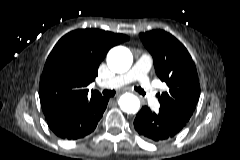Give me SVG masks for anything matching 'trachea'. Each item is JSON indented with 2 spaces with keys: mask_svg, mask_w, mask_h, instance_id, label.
<instances>
[{
  "mask_svg": "<svg viewBox=\"0 0 240 160\" xmlns=\"http://www.w3.org/2000/svg\"><path fill=\"white\" fill-rule=\"evenodd\" d=\"M135 90L142 95H145V92L142 88L140 87H135ZM104 96L106 97H113L115 95V90H104L103 91Z\"/></svg>",
  "mask_w": 240,
  "mask_h": 160,
  "instance_id": "3493384b",
  "label": "trachea"
}]
</instances>
